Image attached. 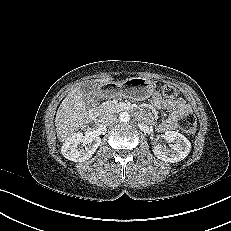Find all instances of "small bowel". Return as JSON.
<instances>
[{
	"instance_id": "c3829d8e",
	"label": "small bowel",
	"mask_w": 231,
	"mask_h": 231,
	"mask_svg": "<svg viewBox=\"0 0 231 231\" xmlns=\"http://www.w3.org/2000/svg\"><path fill=\"white\" fill-rule=\"evenodd\" d=\"M152 106L168 112L167 116L156 126L159 131H169L173 129L176 126L178 118L190 112V107L184 99H164L158 92L152 97ZM144 117L150 124L155 122V117L151 113L146 114Z\"/></svg>"
}]
</instances>
